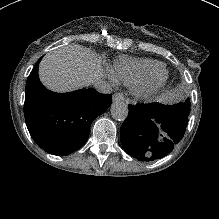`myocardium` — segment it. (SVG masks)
<instances>
[{"label":"myocardium","instance_id":"myocardium-1","mask_svg":"<svg viewBox=\"0 0 219 219\" xmlns=\"http://www.w3.org/2000/svg\"><path fill=\"white\" fill-rule=\"evenodd\" d=\"M168 79L169 72L162 66L150 73L144 81L135 85L132 94L139 101L152 100L165 88Z\"/></svg>","mask_w":219,"mask_h":219}]
</instances>
